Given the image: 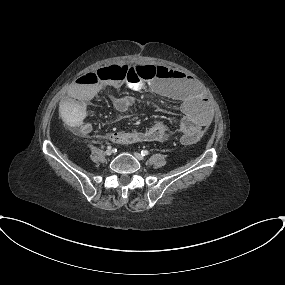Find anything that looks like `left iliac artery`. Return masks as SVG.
<instances>
[{
	"label": "left iliac artery",
	"mask_w": 285,
	"mask_h": 285,
	"mask_svg": "<svg viewBox=\"0 0 285 285\" xmlns=\"http://www.w3.org/2000/svg\"><path fill=\"white\" fill-rule=\"evenodd\" d=\"M149 154V152L147 150H142L141 151V155L144 157V156H147Z\"/></svg>",
	"instance_id": "obj_1"
}]
</instances>
